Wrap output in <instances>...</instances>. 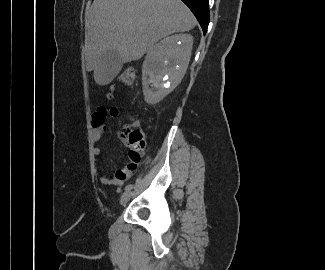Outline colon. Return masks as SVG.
Listing matches in <instances>:
<instances>
[{"label": "colon", "instance_id": "1", "mask_svg": "<svg viewBox=\"0 0 325 270\" xmlns=\"http://www.w3.org/2000/svg\"><path fill=\"white\" fill-rule=\"evenodd\" d=\"M136 78V68L133 66H129L123 70V72L119 75L118 81L126 86H130L133 84ZM110 98L112 97V93L108 95ZM122 137L125 138L131 149L129 155V163L127 167L129 169H135L137 164L140 161L141 153L145 146V135L140 129H135L131 125H127L123 128Z\"/></svg>", "mask_w": 325, "mask_h": 270}]
</instances>
